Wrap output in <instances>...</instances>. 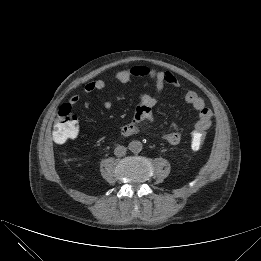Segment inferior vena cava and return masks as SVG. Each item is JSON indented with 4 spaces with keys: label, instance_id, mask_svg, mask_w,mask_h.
I'll return each instance as SVG.
<instances>
[{
    "label": "inferior vena cava",
    "instance_id": "602c4592",
    "mask_svg": "<svg viewBox=\"0 0 261 261\" xmlns=\"http://www.w3.org/2000/svg\"><path fill=\"white\" fill-rule=\"evenodd\" d=\"M127 152V148L121 145H118L115 149H114V154L117 157H122L125 156Z\"/></svg>",
    "mask_w": 261,
    "mask_h": 261
}]
</instances>
